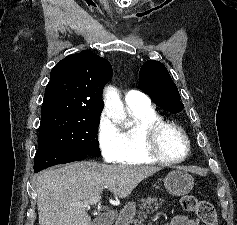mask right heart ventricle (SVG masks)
<instances>
[{
  "mask_svg": "<svg viewBox=\"0 0 237 225\" xmlns=\"http://www.w3.org/2000/svg\"><path fill=\"white\" fill-rule=\"evenodd\" d=\"M128 108L135 120V125L123 132L125 152L120 163L126 165L155 163L156 160L146 152L142 131L148 125L160 121L162 118L151 105Z\"/></svg>",
  "mask_w": 237,
  "mask_h": 225,
  "instance_id": "right-heart-ventricle-1",
  "label": "right heart ventricle"
}]
</instances>
